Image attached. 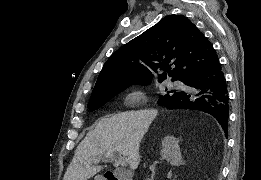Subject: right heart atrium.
Wrapping results in <instances>:
<instances>
[{
	"instance_id": "obj_1",
	"label": "right heart atrium",
	"mask_w": 261,
	"mask_h": 180,
	"mask_svg": "<svg viewBox=\"0 0 261 180\" xmlns=\"http://www.w3.org/2000/svg\"><path fill=\"white\" fill-rule=\"evenodd\" d=\"M145 102H146V97H145L144 93L141 91L133 92V93L129 94L128 96H126V98H125L126 105L131 106V107L141 105Z\"/></svg>"
}]
</instances>
